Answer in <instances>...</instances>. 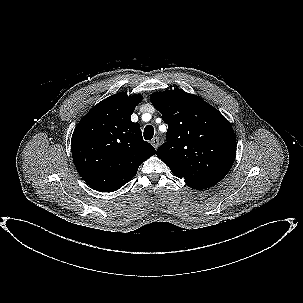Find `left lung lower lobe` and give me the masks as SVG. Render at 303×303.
<instances>
[{"instance_id": "obj_1", "label": "left lung lower lobe", "mask_w": 303, "mask_h": 303, "mask_svg": "<svg viewBox=\"0 0 303 303\" xmlns=\"http://www.w3.org/2000/svg\"><path fill=\"white\" fill-rule=\"evenodd\" d=\"M220 180H202V181H185V183L193 189H207L214 186Z\"/></svg>"}]
</instances>
